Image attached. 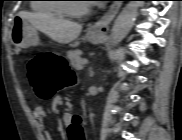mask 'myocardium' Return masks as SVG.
Instances as JSON below:
<instances>
[{"mask_svg":"<svg viewBox=\"0 0 182 140\" xmlns=\"http://www.w3.org/2000/svg\"><path fill=\"white\" fill-rule=\"evenodd\" d=\"M60 9L65 15L75 18L86 14L89 11V5L84 4L81 8L74 9L69 5V2L64 0V2L60 4Z\"/></svg>","mask_w":182,"mask_h":140,"instance_id":"f54148a6","label":"myocardium"}]
</instances>
